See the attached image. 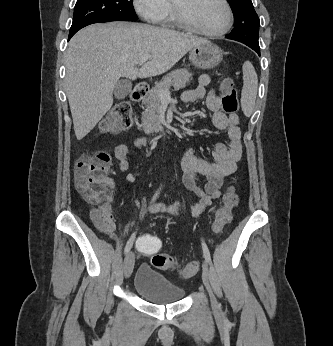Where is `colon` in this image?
Returning <instances> with one entry per match:
<instances>
[{
	"instance_id": "1",
	"label": "colon",
	"mask_w": 333,
	"mask_h": 346,
	"mask_svg": "<svg viewBox=\"0 0 333 346\" xmlns=\"http://www.w3.org/2000/svg\"><path fill=\"white\" fill-rule=\"evenodd\" d=\"M221 105L223 110L232 114L238 110V95L234 83L226 78L221 84ZM131 107L128 103H119L113 107L101 123V131L107 134L118 133L130 128ZM111 166V157L108 153L99 151L90 155L81 156L75 166V184L82 198L91 204H102L107 198L110 182L106 177ZM238 204V195L234 185H230L222 198V205L215 213L212 225L213 231L219 233L232 219V211ZM160 234L136 235L137 253L141 256H153L152 265L161 270L179 268L183 278L194 276L199 268L197 262H189L180 267L175 258L168 254H156L163 251L160 244Z\"/></svg>"
}]
</instances>
